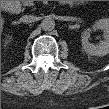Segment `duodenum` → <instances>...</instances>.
<instances>
[{
	"label": "duodenum",
	"instance_id": "duodenum-1",
	"mask_svg": "<svg viewBox=\"0 0 109 109\" xmlns=\"http://www.w3.org/2000/svg\"><path fill=\"white\" fill-rule=\"evenodd\" d=\"M3 9H4V10H10V9H11V4L8 3V2H5V3L3 4Z\"/></svg>",
	"mask_w": 109,
	"mask_h": 109
}]
</instances>
